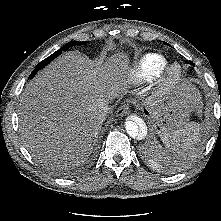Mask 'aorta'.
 <instances>
[{"mask_svg":"<svg viewBox=\"0 0 221 221\" xmlns=\"http://www.w3.org/2000/svg\"><path fill=\"white\" fill-rule=\"evenodd\" d=\"M127 134L132 138L143 139L147 135V127L144 122L128 120L125 122Z\"/></svg>","mask_w":221,"mask_h":221,"instance_id":"1","label":"aorta"}]
</instances>
